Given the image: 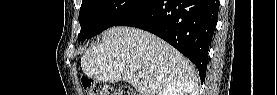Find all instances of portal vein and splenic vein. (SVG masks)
<instances>
[{"label":"portal vein and splenic vein","instance_id":"obj_1","mask_svg":"<svg viewBox=\"0 0 277 95\" xmlns=\"http://www.w3.org/2000/svg\"><path fill=\"white\" fill-rule=\"evenodd\" d=\"M144 75H143V73H138V77H143Z\"/></svg>","mask_w":277,"mask_h":95}]
</instances>
